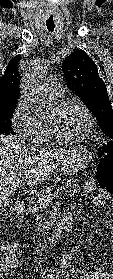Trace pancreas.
<instances>
[{"mask_svg": "<svg viewBox=\"0 0 113 279\" xmlns=\"http://www.w3.org/2000/svg\"><path fill=\"white\" fill-rule=\"evenodd\" d=\"M67 192L70 194H75L79 190V184L77 183V179H70L67 181ZM54 187V184H51L49 188H43L42 190L35 192L33 196L31 197V200L29 201V209L32 212H37L38 210L43 211L45 209V206L48 204V201H45L48 195H50V188ZM36 225L37 229H46L49 227V221L42 222L40 216H36Z\"/></svg>", "mask_w": 113, "mask_h": 279, "instance_id": "cf45deb5", "label": "pancreas"}]
</instances>
